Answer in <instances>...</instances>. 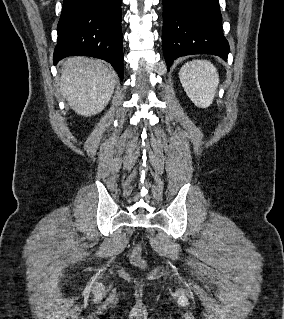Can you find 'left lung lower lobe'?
Instances as JSON below:
<instances>
[{
  "instance_id": "0a47b994",
  "label": "left lung lower lobe",
  "mask_w": 284,
  "mask_h": 319,
  "mask_svg": "<svg viewBox=\"0 0 284 319\" xmlns=\"http://www.w3.org/2000/svg\"><path fill=\"white\" fill-rule=\"evenodd\" d=\"M162 46L168 71L172 62L191 54H213L227 60L218 0H162Z\"/></svg>"
}]
</instances>
